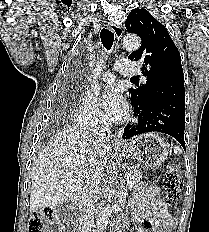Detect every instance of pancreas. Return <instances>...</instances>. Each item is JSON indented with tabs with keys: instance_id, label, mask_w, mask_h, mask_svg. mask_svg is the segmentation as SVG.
<instances>
[{
	"instance_id": "cf45deb5",
	"label": "pancreas",
	"mask_w": 209,
	"mask_h": 232,
	"mask_svg": "<svg viewBox=\"0 0 209 232\" xmlns=\"http://www.w3.org/2000/svg\"><path fill=\"white\" fill-rule=\"evenodd\" d=\"M127 186L129 189L137 187L138 183L142 179L140 169L138 167H130L127 171Z\"/></svg>"
}]
</instances>
